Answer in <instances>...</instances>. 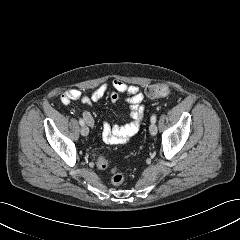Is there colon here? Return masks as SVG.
Segmentation results:
<instances>
[{
  "mask_svg": "<svg viewBox=\"0 0 240 240\" xmlns=\"http://www.w3.org/2000/svg\"><path fill=\"white\" fill-rule=\"evenodd\" d=\"M149 98H163L167 97L170 93V88L165 84H156L149 86L146 91ZM99 169H106L108 167V160L105 156L100 155L96 161ZM111 182L114 186H120L124 182V175L120 172L113 171Z\"/></svg>",
  "mask_w": 240,
  "mask_h": 240,
  "instance_id": "1",
  "label": "colon"
}]
</instances>
